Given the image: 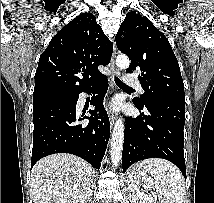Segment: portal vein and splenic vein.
I'll return each mask as SVG.
<instances>
[{
    "mask_svg": "<svg viewBox=\"0 0 214 203\" xmlns=\"http://www.w3.org/2000/svg\"><path fill=\"white\" fill-rule=\"evenodd\" d=\"M131 189H132V188H131ZM137 193H138V196H139L141 199H144V200H152V201H153V197L148 196V195H146V194H144V193H142V192H139L138 190H137Z\"/></svg>",
    "mask_w": 214,
    "mask_h": 203,
    "instance_id": "1",
    "label": "portal vein and splenic vein"
}]
</instances>
